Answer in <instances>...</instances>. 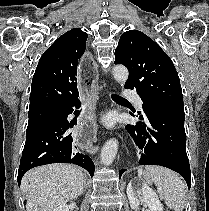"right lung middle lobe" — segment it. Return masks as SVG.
<instances>
[{
    "label": "right lung middle lobe",
    "instance_id": "right-lung-middle-lobe-1",
    "mask_svg": "<svg viewBox=\"0 0 209 211\" xmlns=\"http://www.w3.org/2000/svg\"><path fill=\"white\" fill-rule=\"evenodd\" d=\"M58 108L43 109L29 112L28 127L26 130V140L39 131L48 121H50L57 113Z\"/></svg>",
    "mask_w": 209,
    "mask_h": 211
}]
</instances>
